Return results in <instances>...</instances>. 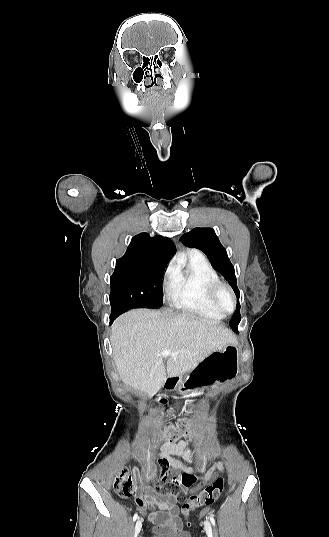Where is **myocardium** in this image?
Here are the masks:
<instances>
[{"label":"myocardium","mask_w":329,"mask_h":537,"mask_svg":"<svg viewBox=\"0 0 329 537\" xmlns=\"http://www.w3.org/2000/svg\"><path fill=\"white\" fill-rule=\"evenodd\" d=\"M222 291L228 292L230 294L232 300H233V306H232V309L230 311L225 310L220 305L219 295H220V293ZM209 299H210L211 304L214 306V308H216L223 315L232 314L236 310L237 305H238L237 297H236L235 292L233 291V289L229 285H227L226 283H223L221 281L215 282V283H213L211 285V287L209 289Z\"/></svg>","instance_id":"1"}]
</instances>
